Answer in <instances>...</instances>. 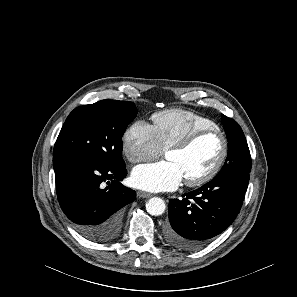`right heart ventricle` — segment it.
<instances>
[{
    "instance_id": "e07e8e85",
    "label": "right heart ventricle",
    "mask_w": 297,
    "mask_h": 297,
    "mask_svg": "<svg viewBox=\"0 0 297 297\" xmlns=\"http://www.w3.org/2000/svg\"><path fill=\"white\" fill-rule=\"evenodd\" d=\"M153 123L158 142L163 149L195 130L217 128L212 120L185 110L158 112L153 116Z\"/></svg>"
}]
</instances>
